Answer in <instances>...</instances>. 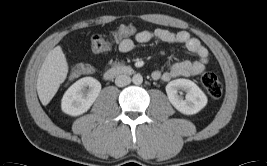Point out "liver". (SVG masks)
I'll use <instances>...</instances> for the list:
<instances>
[{
	"label": "liver",
	"instance_id": "liver-1",
	"mask_svg": "<svg viewBox=\"0 0 267 166\" xmlns=\"http://www.w3.org/2000/svg\"><path fill=\"white\" fill-rule=\"evenodd\" d=\"M68 63L61 46L46 56L37 78V93L43 105L49 104L68 74Z\"/></svg>",
	"mask_w": 267,
	"mask_h": 166
}]
</instances>
